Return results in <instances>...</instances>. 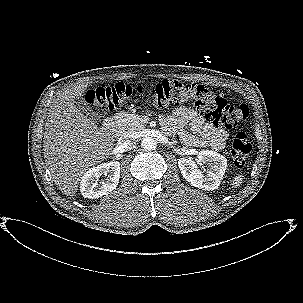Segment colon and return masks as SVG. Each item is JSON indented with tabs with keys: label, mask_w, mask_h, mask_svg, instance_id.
I'll use <instances>...</instances> for the list:
<instances>
[{
	"label": "colon",
	"mask_w": 303,
	"mask_h": 303,
	"mask_svg": "<svg viewBox=\"0 0 303 303\" xmlns=\"http://www.w3.org/2000/svg\"><path fill=\"white\" fill-rule=\"evenodd\" d=\"M86 99L104 112L123 109L131 102L147 103L159 108L190 102L210 122L227 128L238 126L248 116L247 106L230 104L202 84H186L169 79L150 86L124 83L101 86L88 90ZM251 151L250 137L244 132L237 133L231 148L234 163L244 165Z\"/></svg>",
	"instance_id": "colon-1"
}]
</instances>
